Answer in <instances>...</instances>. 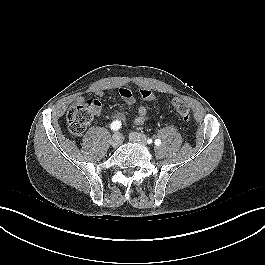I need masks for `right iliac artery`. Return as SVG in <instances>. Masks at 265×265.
Returning a JSON list of instances; mask_svg holds the SVG:
<instances>
[{
  "mask_svg": "<svg viewBox=\"0 0 265 265\" xmlns=\"http://www.w3.org/2000/svg\"><path fill=\"white\" fill-rule=\"evenodd\" d=\"M110 127H111V130L117 131V130H119L121 128V122L120 121H113L111 123Z\"/></svg>",
  "mask_w": 265,
  "mask_h": 265,
  "instance_id": "82829eb1",
  "label": "right iliac artery"
}]
</instances>
